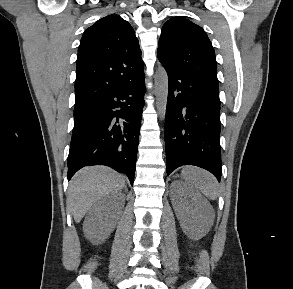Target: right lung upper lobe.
I'll list each match as a JSON object with an SVG mask.
<instances>
[{
  "label": "right lung upper lobe",
  "mask_w": 293,
  "mask_h": 289,
  "mask_svg": "<svg viewBox=\"0 0 293 289\" xmlns=\"http://www.w3.org/2000/svg\"><path fill=\"white\" fill-rule=\"evenodd\" d=\"M75 108L144 75L141 50L128 21L113 14L83 34L76 63Z\"/></svg>",
  "instance_id": "cb5924a9"
}]
</instances>
